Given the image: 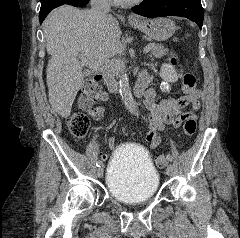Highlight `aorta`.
Here are the masks:
<instances>
[{
  "label": "aorta",
  "instance_id": "obj_1",
  "mask_svg": "<svg viewBox=\"0 0 240 238\" xmlns=\"http://www.w3.org/2000/svg\"><path fill=\"white\" fill-rule=\"evenodd\" d=\"M119 93L128 112L136 113V105L130 91L129 78L126 73H123L119 79Z\"/></svg>",
  "mask_w": 240,
  "mask_h": 238
}]
</instances>
